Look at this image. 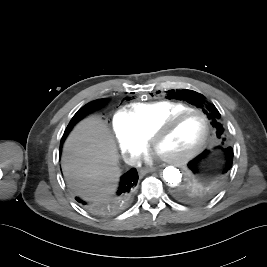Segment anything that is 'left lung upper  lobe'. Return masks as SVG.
Wrapping results in <instances>:
<instances>
[{
    "instance_id": "obj_1",
    "label": "left lung upper lobe",
    "mask_w": 267,
    "mask_h": 267,
    "mask_svg": "<svg viewBox=\"0 0 267 267\" xmlns=\"http://www.w3.org/2000/svg\"><path fill=\"white\" fill-rule=\"evenodd\" d=\"M167 98L184 100L192 105H195L198 108H201L203 112L207 115L208 119L211 120V124L215 129L217 137L225 139L224 128L220 124L219 120L221 117L219 111L212 103H209L202 94L192 90H183V91L169 90Z\"/></svg>"
}]
</instances>
